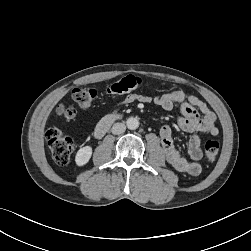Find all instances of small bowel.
Masks as SVG:
<instances>
[{"label":"small bowel","mask_w":251,"mask_h":251,"mask_svg":"<svg viewBox=\"0 0 251 251\" xmlns=\"http://www.w3.org/2000/svg\"><path fill=\"white\" fill-rule=\"evenodd\" d=\"M136 101L154 103L166 111H172L175 105H179L177 125L181 130L191 134L188 143L190 160L174 144L172 130L168 125L160 129L162 147L168 162L177 171L191 176L199 175L202 170L199 161L203 156L199 133L206 132L214 136L218 134L214 112L196 95L181 90L157 96L131 94L120 104L127 105Z\"/></svg>","instance_id":"c3829d8e"}]
</instances>
